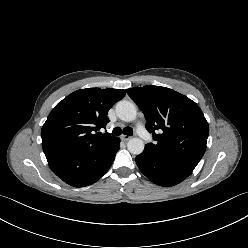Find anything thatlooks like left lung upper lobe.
<instances>
[{
	"label": "left lung upper lobe",
	"instance_id": "left-lung-upper-lobe-1",
	"mask_svg": "<svg viewBox=\"0 0 248 248\" xmlns=\"http://www.w3.org/2000/svg\"><path fill=\"white\" fill-rule=\"evenodd\" d=\"M127 94L140 107L146 128L156 143L145 150L171 160L197 165L206 150L209 126L199 106L166 87L147 85L130 88ZM160 130V134H155Z\"/></svg>",
	"mask_w": 248,
	"mask_h": 248
}]
</instances>
